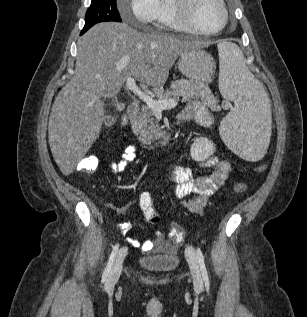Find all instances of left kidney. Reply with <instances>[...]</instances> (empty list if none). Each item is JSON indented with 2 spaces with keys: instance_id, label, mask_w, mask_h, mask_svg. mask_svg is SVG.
<instances>
[{
  "instance_id": "left-kidney-1",
  "label": "left kidney",
  "mask_w": 307,
  "mask_h": 317,
  "mask_svg": "<svg viewBox=\"0 0 307 317\" xmlns=\"http://www.w3.org/2000/svg\"><path fill=\"white\" fill-rule=\"evenodd\" d=\"M215 151L212 141L205 137L196 138L191 146L190 154L193 160L202 162L211 156Z\"/></svg>"
}]
</instances>
